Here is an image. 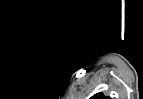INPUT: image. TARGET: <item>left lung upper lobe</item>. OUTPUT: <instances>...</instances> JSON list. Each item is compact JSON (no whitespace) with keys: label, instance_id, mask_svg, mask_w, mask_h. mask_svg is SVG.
I'll return each mask as SVG.
<instances>
[{"label":"left lung upper lobe","instance_id":"1","mask_svg":"<svg viewBox=\"0 0 143 99\" xmlns=\"http://www.w3.org/2000/svg\"><path fill=\"white\" fill-rule=\"evenodd\" d=\"M90 99H111L108 96H105L102 92L93 95Z\"/></svg>","mask_w":143,"mask_h":99}]
</instances>
